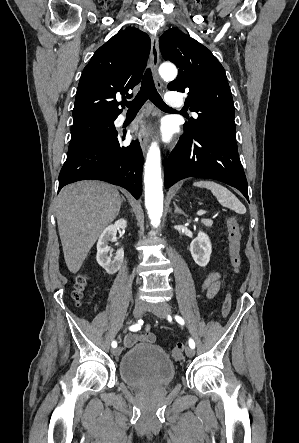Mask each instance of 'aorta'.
Returning a JSON list of instances; mask_svg holds the SVG:
<instances>
[{
	"label": "aorta",
	"instance_id": "762f6f07",
	"mask_svg": "<svg viewBox=\"0 0 299 443\" xmlns=\"http://www.w3.org/2000/svg\"><path fill=\"white\" fill-rule=\"evenodd\" d=\"M159 74L164 80H173L177 69L172 64H162ZM145 206L153 227L160 224L163 213V182L161 177V156L156 143H153L147 153L144 171Z\"/></svg>",
	"mask_w": 299,
	"mask_h": 443
}]
</instances>
